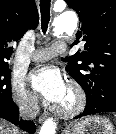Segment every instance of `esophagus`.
<instances>
[{
	"label": "esophagus",
	"mask_w": 116,
	"mask_h": 134,
	"mask_svg": "<svg viewBox=\"0 0 116 134\" xmlns=\"http://www.w3.org/2000/svg\"><path fill=\"white\" fill-rule=\"evenodd\" d=\"M46 117H47L46 114L40 115L39 122L42 123L46 119Z\"/></svg>",
	"instance_id": "1"
}]
</instances>
